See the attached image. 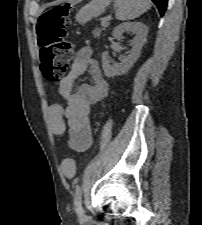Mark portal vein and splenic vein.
I'll use <instances>...</instances> for the list:
<instances>
[{
  "mask_svg": "<svg viewBox=\"0 0 202 225\" xmlns=\"http://www.w3.org/2000/svg\"><path fill=\"white\" fill-rule=\"evenodd\" d=\"M111 19V17L110 16H108V17H104L103 19H102V25H108V22H109V20Z\"/></svg>",
  "mask_w": 202,
  "mask_h": 225,
  "instance_id": "18ae733b",
  "label": "portal vein and splenic vein"
}]
</instances>
